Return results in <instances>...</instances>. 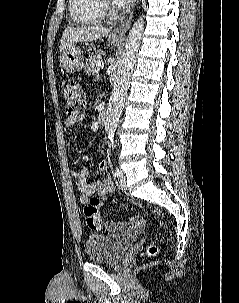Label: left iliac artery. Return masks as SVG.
<instances>
[{
    "label": "left iliac artery",
    "instance_id": "44dca946",
    "mask_svg": "<svg viewBox=\"0 0 239 303\" xmlns=\"http://www.w3.org/2000/svg\"><path fill=\"white\" fill-rule=\"evenodd\" d=\"M109 147H112V149H114L115 144L112 142ZM115 175H118V169L115 170Z\"/></svg>",
    "mask_w": 239,
    "mask_h": 303
}]
</instances>
